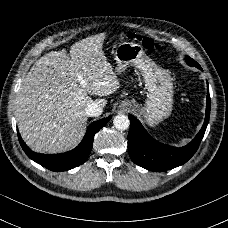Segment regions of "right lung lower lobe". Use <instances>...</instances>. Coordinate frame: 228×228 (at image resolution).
Listing matches in <instances>:
<instances>
[{"instance_id": "98d812e1", "label": "right lung lower lobe", "mask_w": 228, "mask_h": 228, "mask_svg": "<svg viewBox=\"0 0 228 228\" xmlns=\"http://www.w3.org/2000/svg\"><path fill=\"white\" fill-rule=\"evenodd\" d=\"M110 119L111 117H106L91 124L87 128L86 134L81 143L72 151L62 154L46 155L35 153L25 144L19 133L18 137L22 149L33 161L51 171H66L83 164L88 159L93 146L95 133L105 126Z\"/></svg>"}]
</instances>
